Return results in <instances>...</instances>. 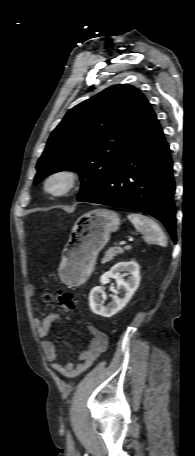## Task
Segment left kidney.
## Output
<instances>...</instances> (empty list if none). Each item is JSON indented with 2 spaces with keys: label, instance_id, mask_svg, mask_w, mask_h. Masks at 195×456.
<instances>
[{
  "label": "left kidney",
  "instance_id": "1",
  "mask_svg": "<svg viewBox=\"0 0 195 456\" xmlns=\"http://www.w3.org/2000/svg\"><path fill=\"white\" fill-rule=\"evenodd\" d=\"M121 272H128L129 277L127 280L123 279ZM110 278L116 280L117 290H123L125 292L123 297L119 298L117 295H114L112 303L104 306V302L100 298V294L103 292L102 286L94 287L89 295V305L92 312L106 318L112 317L123 309L139 287V265L134 261L119 262L110 271L101 276L100 282L104 285L109 282Z\"/></svg>",
  "mask_w": 195,
  "mask_h": 456
}]
</instances>
